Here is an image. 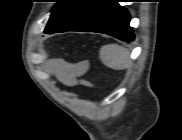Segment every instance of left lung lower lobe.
<instances>
[{"mask_svg": "<svg viewBox=\"0 0 182 140\" xmlns=\"http://www.w3.org/2000/svg\"><path fill=\"white\" fill-rule=\"evenodd\" d=\"M129 21V13L117 0H107L67 31L99 32L130 42L134 40V35Z\"/></svg>", "mask_w": 182, "mask_h": 140, "instance_id": "1", "label": "left lung lower lobe"}]
</instances>
